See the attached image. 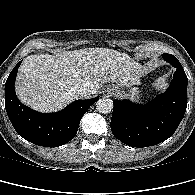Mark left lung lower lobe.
<instances>
[{
	"label": "left lung lower lobe",
	"mask_w": 195,
	"mask_h": 195,
	"mask_svg": "<svg viewBox=\"0 0 195 195\" xmlns=\"http://www.w3.org/2000/svg\"><path fill=\"white\" fill-rule=\"evenodd\" d=\"M176 68L165 93L142 105L128 100L113 101L111 131L132 147H147L170 138L184 117L187 107L188 79L182 65Z\"/></svg>",
	"instance_id": "0a47b994"
}]
</instances>
